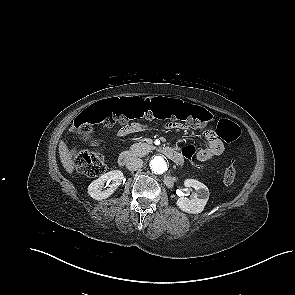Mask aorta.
<instances>
[{
  "label": "aorta",
  "instance_id": "aorta-1",
  "mask_svg": "<svg viewBox=\"0 0 295 295\" xmlns=\"http://www.w3.org/2000/svg\"><path fill=\"white\" fill-rule=\"evenodd\" d=\"M150 168L155 174H163L168 170V165L164 157L154 156L150 161Z\"/></svg>",
  "mask_w": 295,
  "mask_h": 295
}]
</instances>
